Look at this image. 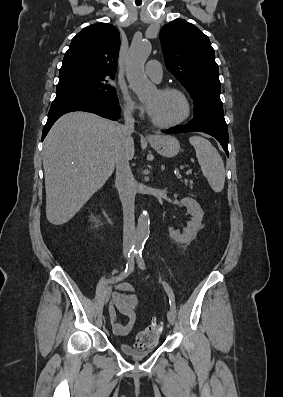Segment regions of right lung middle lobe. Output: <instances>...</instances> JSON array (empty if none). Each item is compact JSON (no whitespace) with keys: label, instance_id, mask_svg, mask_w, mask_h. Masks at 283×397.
Returning <instances> with one entry per match:
<instances>
[{"label":"right lung middle lobe","instance_id":"1","mask_svg":"<svg viewBox=\"0 0 283 397\" xmlns=\"http://www.w3.org/2000/svg\"><path fill=\"white\" fill-rule=\"evenodd\" d=\"M66 98H85L104 104H119L117 93L108 83V77L75 72L59 75L55 100Z\"/></svg>","mask_w":283,"mask_h":397}]
</instances>
